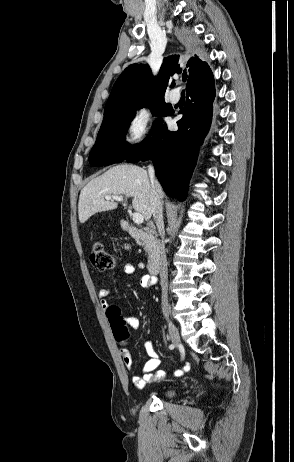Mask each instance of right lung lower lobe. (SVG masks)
<instances>
[{"instance_id": "obj_1", "label": "right lung lower lobe", "mask_w": 294, "mask_h": 462, "mask_svg": "<svg viewBox=\"0 0 294 462\" xmlns=\"http://www.w3.org/2000/svg\"><path fill=\"white\" fill-rule=\"evenodd\" d=\"M187 99L178 131L162 125L153 136L125 160L129 163L153 159L155 173L164 191L183 201L196 164L198 147L211 124L215 86L213 74L186 88Z\"/></svg>"}]
</instances>
